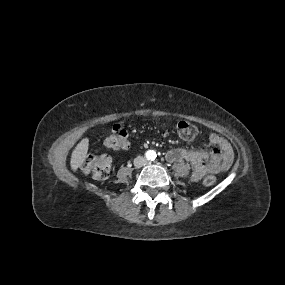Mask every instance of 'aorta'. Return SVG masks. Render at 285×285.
<instances>
[{
    "label": "aorta",
    "instance_id": "762f6f07",
    "mask_svg": "<svg viewBox=\"0 0 285 285\" xmlns=\"http://www.w3.org/2000/svg\"><path fill=\"white\" fill-rule=\"evenodd\" d=\"M156 156H157V154H156V152L154 150H148L146 152V158L148 160H154L156 158Z\"/></svg>",
    "mask_w": 285,
    "mask_h": 285
}]
</instances>
